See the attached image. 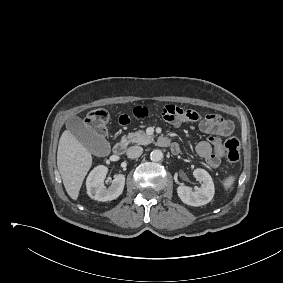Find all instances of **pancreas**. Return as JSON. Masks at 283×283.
<instances>
[{
    "mask_svg": "<svg viewBox=\"0 0 283 283\" xmlns=\"http://www.w3.org/2000/svg\"><path fill=\"white\" fill-rule=\"evenodd\" d=\"M153 141V136L147 135L144 131L129 133L126 137H122L121 143L128 145L129 143H136L139 145H147Z\"/></svg>",
    "mask_w": 283,
    "mask_h": 283,
    "instance_id": "cf45deb5",
    "label": "pancreas"
}]
</instances>
